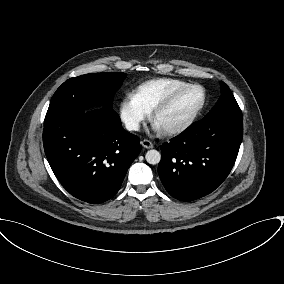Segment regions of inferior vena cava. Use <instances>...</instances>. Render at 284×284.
Instances as JSON below:
<instances>
[{
  "instance_id": "602c4592",
  "label": "inferior vena cava",
  "mask_w": 284,
  "mask_h": 284,
  "mask_svg": "<svg viewBox=\"0 0 284 284\" xmlns=\"http://www.w3.org/2000/svg\"><path fill=\"white\" fill-rule=\"evenodd\" d=\"M126 129L137 131L139 129V123L135 120H129L126 122Z\"/></svg>"
}]
</instances>
